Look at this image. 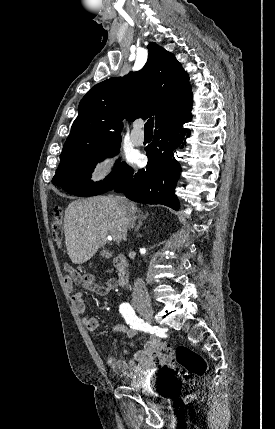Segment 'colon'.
I'll return each instance as SVG.
<instances>
[{
  "mask_svg": "<svg viewBox=\"0 0 275 429\" xmlns=\"http://www.w3.org/2000/svg\"><path fill=\"white\" fill-rule=\"evenodd\" d=\"M52 239L60 246L63 242V228L59 219V210L55 211V220L52 224ZM70 268H66L65 276L69 275ZM159 363L170 374L184 380H191L196 376H203L208 371V363L203 356L190 347L180 345L176 348L168 343H162L158 352Z\"/></svg>",
  "mask_w": 275,
  "mask_h": 429,
  "instance_id": "5ec220e1",
  "label": "colon"
}]
</instances>
